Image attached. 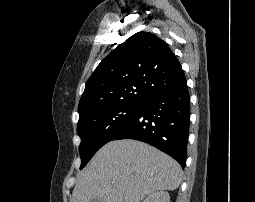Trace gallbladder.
Wrapping results in <instances>:
<instances>
[{
	"label": "gallbladder",
	"instance_id": "gallbladder-1",
	"mask_svg": "<svg viewBox=\"0 0 255 202\" xmlns=\"http://www.w3.org/2000/svg\"><path fill=\"white\" fill-rule=\"evenodd\" d=\"M90 202H103L100 198H94Z\"/></svg>",
	"mask_w": 255,
	"mask_h": 202
}]
</instances>
